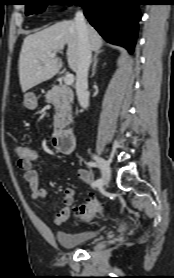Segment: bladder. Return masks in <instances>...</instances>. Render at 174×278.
Wrapping results in <instances>:
<instances>
[{
	"label": "bladder",
	"instance_id": "31cf9c89",
	"mask_svg": "<svg viewBox=\"0 0 174 278\" xmlns=\"http://www.w3.org/2000/svg\"><path fill=\"white\" fill-rule=\"evenodd\" d=\"M98 230H87L77 233L59 231L55 238L58 244L64 248H74L93 240L97 235Z\"/></svg>",
	"mask_w": 174,
	"mask_h": 278
}]
</instances>
